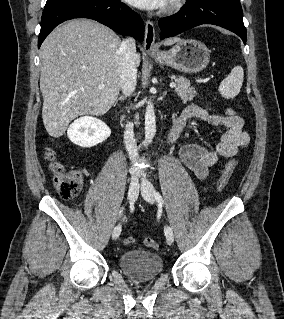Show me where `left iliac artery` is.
I'll use <instances>...</instances> for the list:
<instances>
[{
	"mask_svg": "<svg viewBox=\"0 0 284 319\" xmlns=\"http://www.w3.org/2000/svg\"><path fill=\"white\" fill-rule=\"evenodd\" d=\"M155 198L160 205L163 204V198L158 192H155Z\"/></svg>",
	"mask_w": 284,
	"mask_h": 319,
	"instance_id": "obj_1",
	"label": "left iliac artery"
}]
</instances>
